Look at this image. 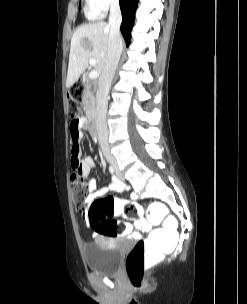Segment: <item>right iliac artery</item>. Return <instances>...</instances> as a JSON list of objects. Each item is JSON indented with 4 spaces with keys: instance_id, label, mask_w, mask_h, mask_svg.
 <instances>
[{
    "instance_id": "right-iliac-artery-1",
    "label": "right iliac artery",
    "mask_w": 247,
    "mask_h": 304,
    "mask_svg": "<svg viewBox=\"0 0 247 304\" xmlns=\"http://www.w3.org/2000/svg\"><path fill=\"white\" fill-rule=\"evenodd\" d=\"M109 172L111 174H114V172H115L114 167L112 165L109 166ZM113 178H114V180L116 179L115 176Z\"/></svg>"
}]
</instances>
